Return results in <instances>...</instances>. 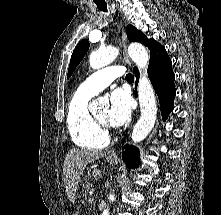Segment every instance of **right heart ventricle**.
I'll return each instance as SVG.
<instances>
[{"label": "right heart ventricle", "instance_id": "1", "mask_svg": "<svg viewBox=\"0 0 221 215\" xmlns=\"http://www.w3.org/2000/svg\"><path fill=\"white\" fill-rule=\"evenodd\" d=\"M92 94L77 89L68 107L66 123L72 142L84 149H102L108 137L95 117L90 113L88 104Z\"/></svg>", "mask_w": 221, "mask_h": 215}]
</instances>
